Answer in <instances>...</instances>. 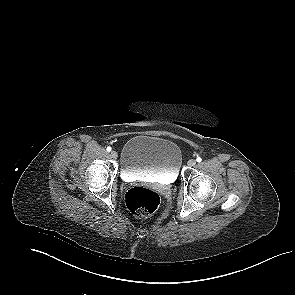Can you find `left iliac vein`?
Segmentation results:
<instances>
[{"label": "left iliac vein", "instance_id": "1", "mask_svg": "<svg viewBox=\"0 0 295 295\" xmlns=\"http://www.w3.org/2000/svg\"><path fill=\"white\" fill-rule=\"evenodd\" d=\"M195 165H196V160H194V159H190V160L188 161V166L193 167V166H195Z\"/></svg>", "mask_w": 295, "mask_h": 295}]
</instances>
